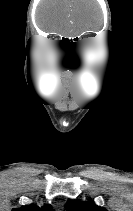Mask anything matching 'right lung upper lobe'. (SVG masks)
I'll return each instance as SVG.
<instances>
[{"instance_id":"obj_1","label":"right lung upper lobe","mask_w":133,"mask_h":211,"mask_svg":"<svg viewBox=\"0 0 133 211\" xmlns=\"http://www.w3.org/2000/svg\"><path fill=\"white\" fill-rule=\"evenodd\" d=\"M12 211H52V207H51V205H45V206L40 208V207H38L34 204H31V205L26 206V207L12 209Z\"/></svg>"}]
</instances>
